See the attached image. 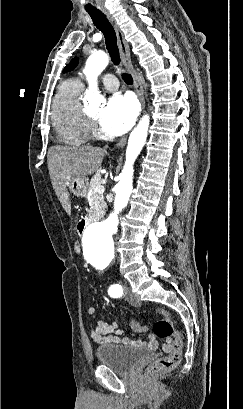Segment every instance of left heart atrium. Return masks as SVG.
<instances>
[{"instance_id": "39dd6f15", "label": "left heart atrium", "mask_w": 243, "mask_h": 409, "mask_svg": "<svg viewBox=\"0 0 243 409\" xmlns=\"http://www.w3.org/2000/svg\"><path fill=\"white\" fill-rule=\"evenodd\" d=\"M137 116L135 101L129 96H112L99 114L101 130L109 136H118L128 131Z\"/></svg>"}]
</instances>
